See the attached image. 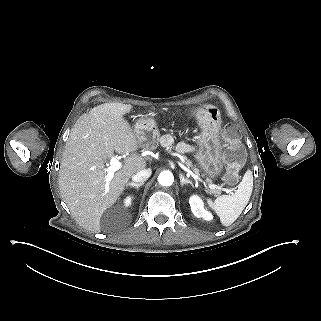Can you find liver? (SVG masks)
<instances>
[{
	"mask_svg": "<svg viewBox=\"0 0 321 321\" xmlns=\"http://www.w3.org/2000/svg\"><path fill=\"white\" fill-rule=\"evenodd\" d=\"M133 108L132 104L108 102L82 114L63 152L59 174L62 199L77 223L92 233L101 232L103 213L117 202L128 180L147 167L146 158L138 153L136 131L126 119ZM114 151L129 156L106 185L104 167Z\"/></svg>",
	"mask_w": 321,
	"mask_h": 321,
	"instance_id": "6515ba94",
	"label": "liver"
}]
</instances>
